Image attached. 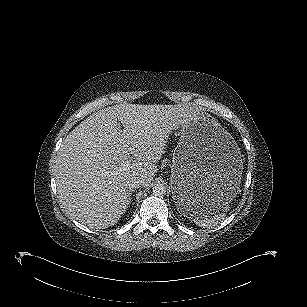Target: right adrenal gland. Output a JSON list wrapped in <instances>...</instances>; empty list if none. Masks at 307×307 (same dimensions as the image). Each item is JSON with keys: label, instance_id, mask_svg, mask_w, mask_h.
Listing matches in <instances>:
<instances>
[{"label": "right adrenal gland", "instance_id": "right-adrenal-gland-1", "mask_svg": "<svg viewBox=\"0 0 307 307\" xmlns=\"http://www.w3.org/2000/svg\"><path fill=\"white\" fill-rule=\"evenodd\" d=\"M132 192H133V191H130V192H129V202H131V201H132V198H131V196H132Z\"/></svg>", "mask_w": 307, "mask_h": 307}]
</instances>
